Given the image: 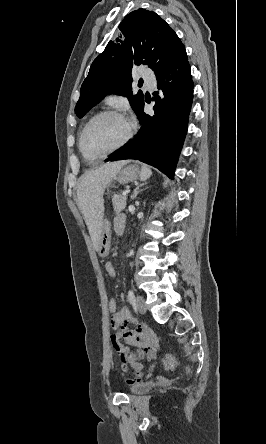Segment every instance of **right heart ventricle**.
I'll use <instances>...</instances> for the list:
<instances>
[{
    "instance_id": "e07e8e85",
    "label": "right heart ventricle",
    "mask_w": 266,
    "mask_h": 444,
    "mask_svg": "<svg viewBox=\"0 0 266 444\" xmlns=\"http://www.w3.org/2000/svg\"><path fill=\"white\" fill-rule=\"evenodd\" d=\"M86 157V156H85ZM87 159H90L91 157H86Z\"/></svg>"
}]
</instances>
